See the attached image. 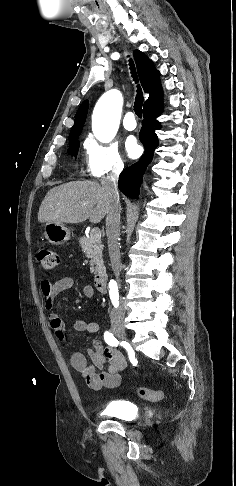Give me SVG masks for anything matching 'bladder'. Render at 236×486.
I'll use <instances>...</instances> for the list:
<instances>
[{"label": "bladder", "instance_id": "obj_1", "mask_svg": "<svg viewBox=\"0 0 236 486\" xmlns=\"http://www.w3.org/2000/svg\"><path fill=\"white\" fill-rule=\"evenodd\" d=\"M104 415L121 420H132L138 414V406L126 400H116L109 402L104 410Z\"/></svg>", "mask_w": 236, "mask_h": 486}]
</instances>
